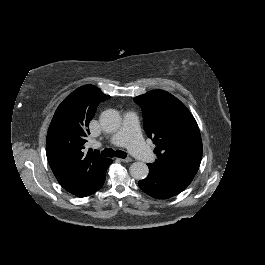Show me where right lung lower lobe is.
I'll return each instance as SVG.
<instances>
[{"label": "right lung lower lobe", "mask_w": 265, "mask_h": 265, "mask_svg": "<svg viewBox=\"0 0 265 265\" xmlns=\"http://www.w3.org/2000/svg\"><path fill=\"white\" fill-rule=\"evenodd\" d=\"M111 163H112V162H111ZM103 184H104V182L99 186V188H101ZM99 188H98V189H99ZM98 189H97V190H98ZM97 190H96V191H97ZM93 193H94V192H93ZM90 195H91V194H90ZM88 196H89V195H88ZM84 197H85V196H84Z\"/></svg>", "instance_id": "1"}]
</instances>
